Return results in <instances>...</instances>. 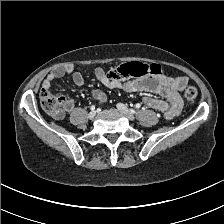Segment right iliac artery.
<instances>
[{"instance_id":"1","label":"right iliac artery","mask_w":224,"mask_h":224,"mask_svg":"<svg viewBox=\"0 0 224 224\" xmlns=\"http://www.w3.org/2000/svg\"><path fill=\"white\" fill-rule=\"evenodd\" d=\"M90 109H91L92 111H94V110H95V105H92V106L90 107Z\"/></svg>"}]
</instances>
